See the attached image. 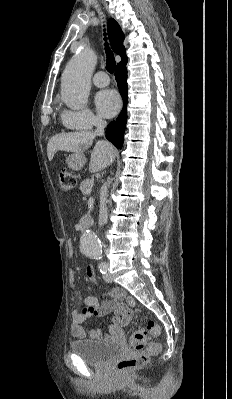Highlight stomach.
Wrapping results in <instances>:
<instances>
[{
    "label": "stomach",
    "mask_w": 232,
    "mask_h": 399,
    "mask_svg": "<svg viewBox=\"0 0 232 399\" xmlns=\"http://www.w3.org/2000/svg\"><path fill=\"white\" fill-rule=\"evenodd\" d=\"M66 164H68V168L78 172V170H82L84 164H86V158L84 154H70L66 160Z\"/></svg>",
    "instance_id": "stomach-1"
}]
</instances>
